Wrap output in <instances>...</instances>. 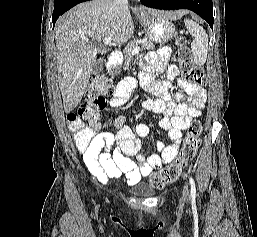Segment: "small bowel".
I'll list each match as a JSON object with an SVG mask.
<instances>
[{"label": "small bowel", "mask_w": 257, "mask_h": 237, "mask_svg": "<svg viewBox=\"0 0 257 237\" xmlns=\"http://www.w3.org/2000/svg\"><path fill=\"white\" fill-rule=\"evenodd\" d=\"M170 58L171 50L163 47L157 52H149L142 63L143 87L160 96L144 100L141 108L162 115L159 126L167 132L171 141L170 144H165L157 140V153L145 156L141 152L140 139L149 134L147 125L138 124L132 129L126 125L128 118L125 115H118L112 121L104 122L97 112L107 106H123L136 87L135 79L128 77L119 81L110 100L96 105H83L80 108L79 114L88 122L86 130L92 140L85 147L81 146L75 137L74 141L87 169L99 183L105 184L109 178H122L126 184L137 183L142 177L170 163L178 155L183 131L201 114L206 92L199 86L180 80L183 91L171 96L167 91V82L151 81L150 75L154 69L165 71L169 79L175 76L176 67L167 65ZM109 127L115 128L116 132L103 131ZM129 157H134L137 162Z\"/></svg>", "instance_id": "small-bowel-1"}]
</instances>
